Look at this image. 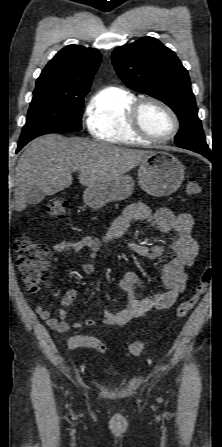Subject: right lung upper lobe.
Wrapping results in <instances>:
<instances>
[{
    "instance_id": "right-lung-upper-lobe-1",
    "label": "right lung upper lobe",
    "mask_w": 222,
    "mask_h": 447,
    "mask_svg": "<svg viewBox=\"0 0 222 447\" xmlns=\"http://www.w3.org/2000/svg\"><path fill=\"white\" fill-rule=\"evenodd\" d=\"M100 61L101 54L96 49L66 46L43 69L36 88H51L76 96L88 93Z\"/></svg>"
}]
</instances>
